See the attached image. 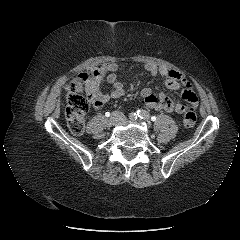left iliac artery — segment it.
Listing matches in <instances>:
<instances>
[{"label": "left iliac artery", "instance_id": "44dca946", "mask_svg": "<svg viewBox=\"0 0 240 240\" xmlns=\"http://www.w3.org/2000/svg\"><path fill=\"white\" fill-rule=\"evenodd\" d=\"M137 115L139 118H141L143 120H149V118H150L149 113L145 110H138Z\"/></svg>", "mask_w": 240, "mask_h": 240}]
</instances>
